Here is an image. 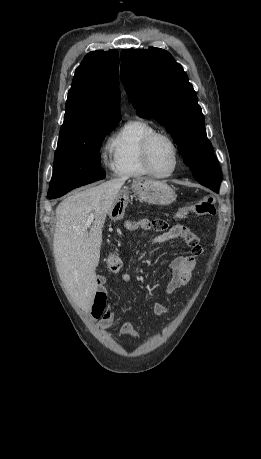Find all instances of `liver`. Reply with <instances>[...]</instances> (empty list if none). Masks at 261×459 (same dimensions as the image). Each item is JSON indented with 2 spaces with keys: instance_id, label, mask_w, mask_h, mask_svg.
<instances>
[{
  "instance_id": "6515ba94",
  "label": "liver",
  "mask_w": 261,
  "mask_h": 459,
  "mask_svg": "<svg viewBox=\"0 0 261 459\" xmlns=\"http://www.w3.org/2000/svg\"><path fill=\"white\" fill-rule=\"evenodd\" d=\"M126 177L78 191L56 208L54 257L59 276L76 304L89 311L98 290L96 267L106 215L113 207ZM94 215L88 232L86 220Z\"/></svg>"
}]
</instances>
